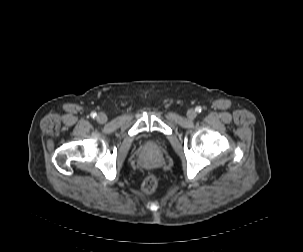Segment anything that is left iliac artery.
<instances>
[{
	"label": "left iliac artery",
	"mask_w": 303,
	"mask_h": 252,
	"mask_svg": "<svg viewBox=\"0 0 303 252\" xmlns=\"http://www.w3.org/2000/svg\"><path fill=\"white\" fill-rule=\"evenodd\" d=\"M196 111L200 113L202 111V108L201 107H196Z\"/></svg>",
	"instance_id": "1"
}]
</instances>
